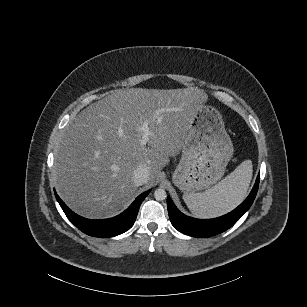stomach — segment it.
Here are the masks:
<instances>
[{
  "label": "stomach",
  "mask_w": 307,
  "mask_h": 307,
  "mask_svg": "<svg viewBox=\"0 0 307 307\" xmlns=\"http://www.w3.org/2000/svg\"><path fill=\"white\" fill-rule=\"evenodd\" d=\"M233 156V144L220 112L200 104L190 120L182 158L173 183L185 193H195L216 184Z\"/></svg>",
  "instance_id": "1"
}]
</instances>
